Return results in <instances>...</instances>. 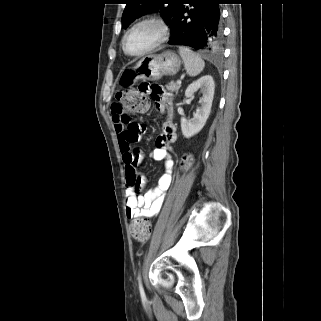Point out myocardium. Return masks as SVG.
<instances>
[{
	"label": "myocardium",
	"mask_w": 321,
	"mask_h": 321,
	"mask_svg": "<svg viewBox=\"0 0 321 321\" xmlns=\"http://www.w3.org/2000/svg\"><path fill=\"white\" fill-rule=\"evenodd\" d=\"M145 24H152L154 25L157 30H158V37L155 40V42L153 44H151L149 47H147L146 49H144L141 52L138 53H130L127 49L126 46V40L128 35L137 27L141 26V25H145ZM170 36V28L169 25L167 24V22L162 19L161 17L158 16H146L141 18L140 20L136 21L134 24H132L124 33V36L122 38V48L123 51L126 55L131 56V57H141L144 56L154 50H156L158 47H160L161 45H163Z\"/></svg>",
	"instance_id": "1"
}]
</instances>
